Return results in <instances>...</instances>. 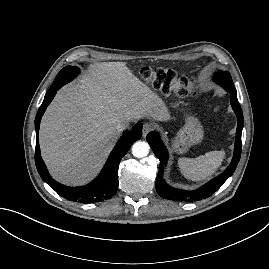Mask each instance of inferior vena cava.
Wrapping results in <instances>:
<instances>
[{"label": "inferior vena cava", "mask_w": 269, "mask_h": 269, "mask_svg": "<svg viewBox=\"0 0 269 269\" xmlns=\"http://www.w3.org/2000/svg\"><path fill=\"white\" fill-rule=\"evenodd\" d=\"M128 126H129V123H127V122L119 123V124L117 125V127H116L117 132H118V133L122 132V131L125 130Z\"/></svg>", "instance_id": "obj_1"}]
</instances>
